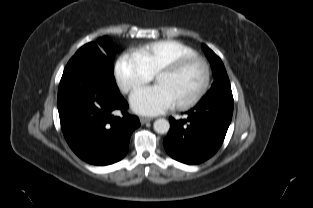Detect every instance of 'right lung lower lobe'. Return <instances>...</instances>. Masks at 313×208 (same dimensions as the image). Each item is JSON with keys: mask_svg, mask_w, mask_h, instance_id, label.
Wrapping results in <instances>:
<instances>
[{"mask_svg": "<svg viewBox=\"0 0 313 208\" xmlns=\"http://www.w3.org/2000/svg\"><path fill=\"white\" fill-rule=\"evenodd\" d=\"M57 104L68 145L93 165L121 160L132 132L140 126L138 117L127 113L128 103L119 94L114 76L90 60H79L64 70ZM115 110L123 116L115 117Z\"/></svg>", "mask_w": 313, "mask_h": 208, "instance_id": "obj_1", "label": "right lung lower lobe"}]
</instances>
